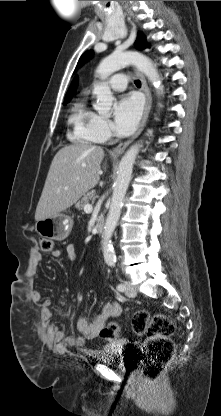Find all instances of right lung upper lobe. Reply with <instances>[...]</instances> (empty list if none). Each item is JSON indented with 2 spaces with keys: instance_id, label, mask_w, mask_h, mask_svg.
Masks as SVG:
<instances>
[{
  "instance_id": "obj_1",
  "label": "right lung upper lobe",
  "mask_w": 221,
  "mask_h": 416,
  "mask_svg": "<svg viewBox=\"0 0 221 416\" xmlns=\"http://www.w3.org/2000/svg\"><path fill=\"white\" fill-rule=\"evenodd\" d=\"M77 85H78V80H77V77H76V78L73 80V82H72V84H71V86H70V88H69V90H68V92H67V94H66L65 100L69 101L70 97H71V96L74 94V92L76 91Z\"/></svg>"
}]
</instances>
